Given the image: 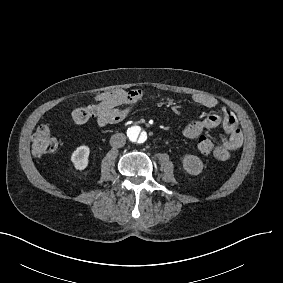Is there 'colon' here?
Masks as SVG:
<instances>
[{"mask_svg":"<svg viewBox=\"0 0 283 283\" xmlns=\"http://www.w3.org/2000/svg\"><path fill=\"white\" fill-rule=\"evenodd\" d=\"M96 116L94 106H80L73 109L69 122L75 125H82ZM197 147L204 154H212L215 150L213 139L207 134H199L196 139ZM57 142L48 125L40 126L34 133L32 140V150L38 156H47L54 152Z\"/></svg>","mask_w":283,"mask_h":283,"instance_id":"colon-1","label":"colon"}]
</instances>
